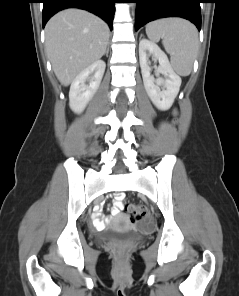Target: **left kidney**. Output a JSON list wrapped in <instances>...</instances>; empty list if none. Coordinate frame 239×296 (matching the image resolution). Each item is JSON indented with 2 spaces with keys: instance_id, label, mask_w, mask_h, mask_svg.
I'll return each mask as SVG.
<instances>
[{
  "instance_id": "obj_1",
  "label": "left kidney",
  "mask_w": 239,
  "mask_h": 296,
  "mask_svg": "<svg viewBox=\"0 0 239 296\" xmlns=\"http://www.w3.org/2000/svg\"><path fill=\"white\" fill-rule=\"evenodd\" d=\"M148 53L159 61L157 71L165 76V79H154L150 74L148 65ZM139 61L145 90L153 104L161 111H166L172 106L181 85V78L174 72L167 55L160 47L147 39L139 42ZM164 89L161 91L160 87Z\"/></svg>"
}]
</instances>
